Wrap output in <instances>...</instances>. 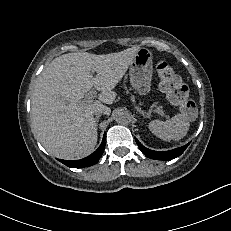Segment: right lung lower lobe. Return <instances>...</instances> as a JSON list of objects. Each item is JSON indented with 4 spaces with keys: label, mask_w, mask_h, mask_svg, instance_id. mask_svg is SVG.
I'll list each match as a JSON object with an SVG mask.
<instances>
[{
    "label": "right lung lower lobe",
    "mask_w": 231,
    "mask_h": 231,
    "mask_svg": "<svg viewBox=\"0 0 231 231\" xmlns=\"http://www.w3.org/2000/svg\"><path fill=\"white\" fill-rule=\"evenodd\" d=\"M104 148H105V136L99 148L88 157L75 161L60 160V162L71 168H82V167L92 166L99 161V159L101 158L104 152Z\"/></svg>",
    "instance_id": "98d812e1"
}]
</instances>
